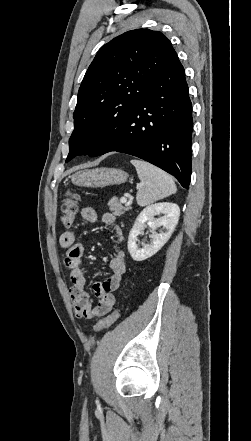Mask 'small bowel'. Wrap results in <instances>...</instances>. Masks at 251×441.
<instances>
[{"mask_svg": "<svg viewBox=\"0 0 251 441\" xmlns=\"http://www.w3.org/2000/svg\"><path fill=\"white\" fill-rule=\"evenodd\" d=\"M79 215L87 222L97 220L96 211L90 206L82 207ZM101 221L111 231L115 250L110 260L111 275L93 285V292L98 298L95 306L85 290L86 277L82 266L83 244L77 241L76 235L72 231L63 232L59 239L61 247L66 250L64 265L70 270L69 294L75 313L78 317L87 319L94 316H104L113 309L116 302L114 292L119 289L121 278L127 270L126 254L121 247L124 237L121 228L116 223L115 216L112 213H104Z\"/></svg>", "mask_w": 251, "mask_h": 441, "instance_id": "c3829d8e", "label": "small bowel"}]
</instances>
